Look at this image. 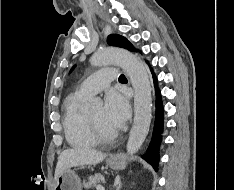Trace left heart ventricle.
Segmentation results:
<instances>
[{
  "label": "left heart ventricle",
  "instance_id": "1",
  "mask_svg": "<svg viewBox=\"0 0 234 190\" xmlns=\"http://www.w3.org/2000/svg\"><path fill=\"white\" fill-rule=\"evenodd\" d=\"M89 114L105 131H115V128L109 125L108 122L106 121L104 108L102 106L95 108Z\"/></svg>",
  "mask_w": 234,
  "mask_h": 190
}]
</instances>
